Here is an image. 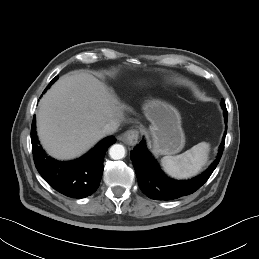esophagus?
I'll return each mask as SVG.
<instances>
[{
  "mask_svg": "<svg viewBox=\"0 0 259 259\" xmlns=\"http://www.w3.org/2000/svg\"><path fill=\"white\" fill-rule=\"evenodd\" d=\"M139 139V131L137 129H131L126 131L122 136L121 140L129 145V146H134L138 142Z\"/></svg>",
  "mask_w": 259,
  "mask_h": 259,
  "instance_id": "esophagus-1",
  "label": "esophagus"
}]
</instances>
